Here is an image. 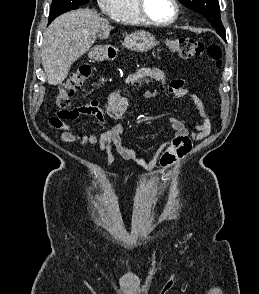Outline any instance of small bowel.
<instances>
[{
    "instance_id": "obj_1",
    "label": "small bowel",
    "mask_w": 259,
    "mask_h": 294,
    "mask_svg": "<svg viewBox=\"0 0 259 294\" xmlns=\"http://www.w3.org/2000/svg\"><path fill=\"white\" fill-rule=\"evenodd\" d=\"M160 80L167 85L168 92L175 97L188 96L193 101L201 116V122L195 126V130L190 133L182 120L177 117L170 118V124L174 130V138L171 142L164 144L156 150L150 159H145L136 150L127 147L123 143V126L116 124L107 127L103 133L86 134L83 131L72 129L68 125L69 120L77 119L80 116H92L101 125H107V119H119L129 106V100L125 92L135 89L149 81L148 77ZM158 94L157 89H150L144 92L145 98H152ZM48 128L51 131H60L59 139L64 143H77L82 147L99 146L100 151L106 152V165L112 164L115 152L122 158L134 161L141 169L148 171L157 161L163 167H169L178 159L188 154L192 148L193 141H199L207 137L211 132V120L202 103L194 94H191L185 87L181 79L167 81L164 73L160 70H141L133 75L125 86L113 90L105 105H101L97 100H91L79 107L73 108L70 116L66 117L57 112L48 121Z\"/></svg>"
}]
</instances>
